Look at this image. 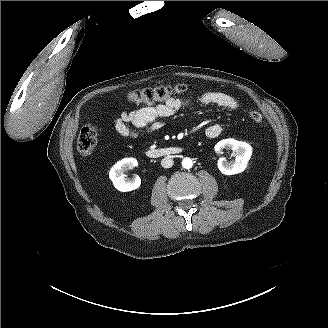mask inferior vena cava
<instances>
[{
    "label": "inferior vena cava",
    "mask_w": 328,
    "mask_h": 328,
    "mask_svg": "<svg viewBox=\"0 0 328 328\" xmlns=\"http://www.w3.org/2000/svg\"><path fill=\"white\" fill-rule=\"evenodd\" d=\"M161 166L163 168H170L173 166V159L172 158H164L161 160Z\"/></svg>",
    "instance_id": "1"
}]
</instances>
